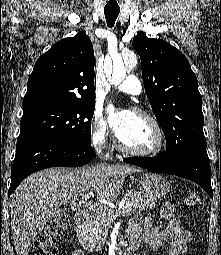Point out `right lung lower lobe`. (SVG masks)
Returning <instances> with one entry per match:
<instances>
[{
  "mask_svg": "<svg viewBox=\"0 0 221 255\" xmlns=\"http://www.w3.org/2000/svg\"><path fill=\"white\" fill-rule=\"evenodd\" d=\"M96 157L86 145L70 144L35 135H19L11 169L9 196L28 175L54 166L79 167Z\"/></svg>",
  "mask_w": 221,
  "mask_h": 255,
  "instance_id": "right-lung-lower-lobe-1",
  "label": "right lung lower lobe"
}]
</instances>
